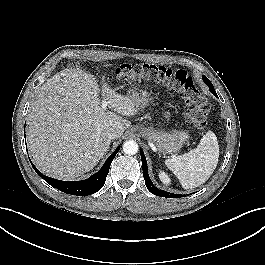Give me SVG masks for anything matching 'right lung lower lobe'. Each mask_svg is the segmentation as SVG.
<instances>
[{"label":"right lung lower lobe","mask_w":265,"mask_h":265,"mask_svg":"<svg viewBox=\"0 0 265 265\" xmlns=\"http://www.w3.org/2000/svg\"><path fill=\"white\" fill-rule=\"evenodd\" d=\"M120 147H118L113 154L106 160L103 167L94 175L83 181H60L48 176H44L31 162L32 167L37 172V174L42 177L49 185L58 190L77 196H87L99 191L106 180L107 174L110 169V165L116 154L118 153Z\"/></svg>","instance_id":"98d812e1"}]
</instances>
